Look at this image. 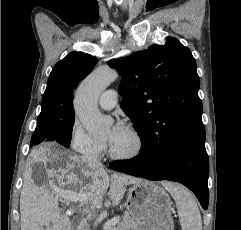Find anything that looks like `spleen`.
<instances>
[{
    "instance_id": "spleen-1",
    "label": "spleen",
    "mask_w": 241,
    "mask_h": 230,
    "mask_svg": "<svg viewBox=\"0 0 241 230\" xmlns=\"http://www.w3.org/2000/svg\"><path fill=\"white\" fill-rule=\"evenodd\" d=\"M163 186L176 202L182 230H202L200 211L192 193L175 183L165 182Z\"/></svg>"
}]
</instances>
